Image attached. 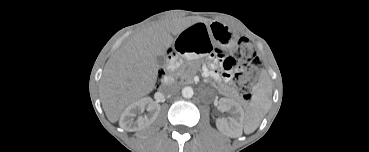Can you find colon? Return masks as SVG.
Masks as SVG:
<instances>
[{
	"label": "colon",
	"mask_w": 369,
	"mask_h": 152,
	"mask_svg": "<svg viewBox=\"0 0 369 152\" xmlns=\"http://www.w3.org/2000/svg\"><path fill=\"white\" fill-rule=\"evenodd\" d=\"M211 65L219 66L227 73H234V80L244 95L249 94L262 70L256 52L245 39L239 40L234 56H220L213 59Z\"/></svg>",
	"instance_id": "1"
}]
</instances>
